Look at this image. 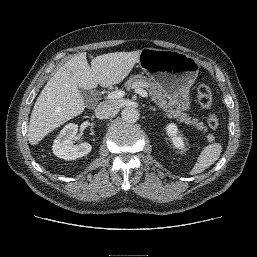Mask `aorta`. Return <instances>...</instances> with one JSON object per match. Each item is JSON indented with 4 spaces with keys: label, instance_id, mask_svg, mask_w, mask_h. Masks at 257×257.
<instances>
[{
    "label": "aorta",
    "instance_id": "aorta-1",
    "mask_svg": "<svg viewBox=\"0 0 257 257\" xmlns=\"http://www.w3.org/2000/svg\"><path fill=\"white\" fill-rule=\"evenodd\" d=\"M122 120L126 123H135L139 119V112L132 107H126L121 112Z\"/></svg>",
    "mask_w": 257,
    "mask_h": 257
}]
</instances>
